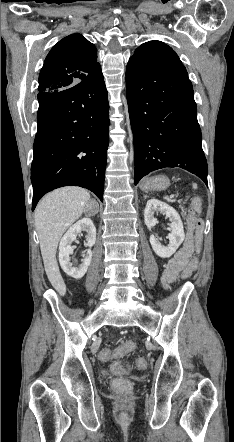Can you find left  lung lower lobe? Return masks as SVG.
I'll return each mask as SVG.
<instances>
[{
	"mask_svg": "<svg viewBox=\"0 0 234 442\" xmlns=\"http://www.w3.org/2000/svg\"><path fill=\"white\" fill-rule=\"evenodd\" d=\"M135 185L148 173L180 167L207 185V161L193 87L182 63L131 57L126 69Z\"/></svg>",
	"mask_w": 234,
	"mask_h": 442,
	"instance_id": "1",
	"label": "left lung lower lobe"
}]
</instances>
